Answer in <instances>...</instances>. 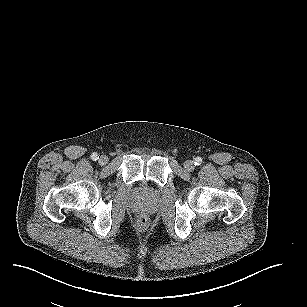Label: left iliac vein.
Instances as JSON below:
<instances>
[{
  "label": "left iliac vein",
  "instance_id": "4c4485c4",
  "mask_svg": "<svg viewBox=\"0 0 307 307\" xmlns=\"http://www.w3.org/2000/svg\"><path fill=\"white\" fill-rule=\"evenodd\" d=\"M184 167L187 171H192L195 167V163L192 160H186L184 163Z\"/></svg>",
  "mask_w": 307,
  "mask_h": 307
}]
</instances>
